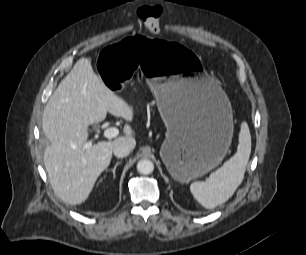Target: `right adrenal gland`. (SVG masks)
<instances>
[{
	"label": "right adrenal gland",
	"mask_w": 306,
	"mask_h": 255,
	"mask_svg": "<svg viewBox=\"0 0 306 255\" xmlns=\"http://www.w3.org/2000/svg\"><path fill=\"white\" fill-rule=\"evenodd\" d=\"M119 164H121V161H117L116 164H115V166H114V168L110 170V171L112 172V174H113V177H115V171H116V168H117V166H118Z\"/></svg>",
	"instance_id": "1"
}]
</instances>
